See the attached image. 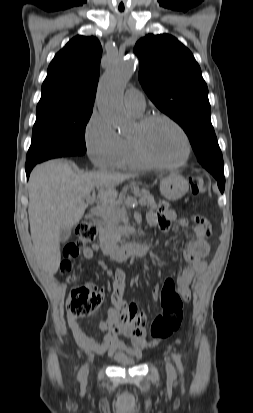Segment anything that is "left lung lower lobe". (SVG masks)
<instances>
[{
  "instance_id": "left-lung-lower-lobe-1",
  "label": "left lung lower lobe",
  "mask_w": 253,
  "mask_h": 413,
  "mask_svg": "<svg viewBox=\"0 0 253 413\" xmlns=\"http://www.w3.org/2000/svg\"><path fill=\"white\" fill-rule=\"evenodd\" d=\"M217 180L219 189L221 192L224 191L225 188V177H224V170H214V169H207Z\"/></svg>"
}]
</instances>
